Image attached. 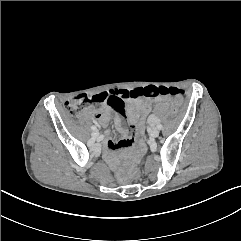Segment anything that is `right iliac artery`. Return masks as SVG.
Instances as JSON below:
<instances>
[{
	"instance_id": "obj_1",
	"label": "right iliac artery",
	"mask_w": 241,
	"mask_h": 241,
	"mask_svg": "<svg viewBox=\"0 0 241 241\" xmlns=\"http://www.w3.org/2000/svg\"><path fill=\"white\" fill-rule=\"evenodd\" d=\"M91 129H92L93 131H95L97 128H96V126H92Z\"/></svg>"
}]
</instances>
